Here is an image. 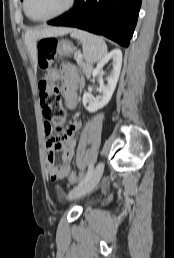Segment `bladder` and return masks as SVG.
<instances>
[{
  "instance_id": "31cf9c89",
  "label": "bladder",
  "mask_w": 174,
  "mask_h": 258,
  "mask_svg": "<svg viewBox=\"0 0 174 258\" xmlns=\"http://www.w3.org/2000/svg\"><path fill=\"white\" fill-rule=\"evenodd\" d=\"M55 190H56V194L58 196V199L59 200H64L66 195H67L66 192L64 191V189L61 186H57ZM89 205H90L89 202H84L83 204H81V207L87 208Z\"/></svg>"
}]
</instances>
